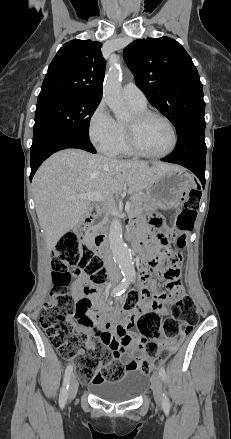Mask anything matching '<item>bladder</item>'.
I'll list each match as a JSON object with an SVG mask.
<instances>
[{"mask_svg":"<svg viewBox=\"0 0 231 439\" xmlns=\"http://www.w3.org/2000/svg\"><path fill=\"white\" fill-rule=\"evenodd\" d=\"M150 377L139 368L128 369L117 381L94 384L90 391L98 398L109 402H126L138 398L148 388Z\"/></svg>","mask_w":231,"mask_h":439,"instance_id":"bladder-1","label":"bladder"}]
</instances>
